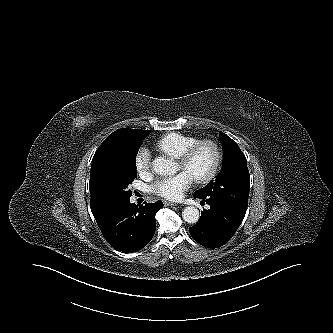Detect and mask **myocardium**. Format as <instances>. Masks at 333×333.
<instances>
[{
	"mask_svg": "<svg viewBox=\"0 0 333 333\" xmlns=\"http://www.w3.org/2000/svg\"><path fill=\"white\" fill-rule=\"evenodd\" d=\"M202 147L210 148V150L213 153V162H212L211 168L207 172V174H205L202 177L193 178L194 181L198 184L209 183L217 175L220 165H221V160H222V154H221V150H220L218 144L209 139L199 140L195 144H193L191 147H189L180 158H178V162L185 166L191 162V160L193 159L195 154Z\"/></svg>",
	"mask_w": 333,
	"mask_h": 333,
	"instance_id": "f54148a6",
	"label": "myocardium"
}]
</instances>
